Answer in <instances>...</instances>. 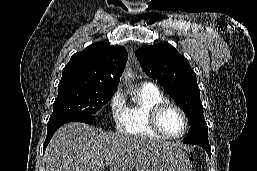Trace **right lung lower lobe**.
<instances>
[{"mask_svg": "<svg viewBox=\"0 0 257 171\" xmlns=\"http://www.w3.org/2000/svg\"><path fill=\"white\" fill-rule=\"evenodd\" d=\"M73 121H78V122H83V123L91 124V122H86V121H81V120H60V121L48 123V126H47V137H46V140H45L44 145H43V151L44 152H45V149H46L48 143L50 142L52 136L57 131V129L60 126H62L63 124L68 123V122H73Z\"/></svg>", "mask_w": 257, "mask_h": 171, "instance_id": "98d812e1", "label": "right lung lower lobe"}]
</instances>
